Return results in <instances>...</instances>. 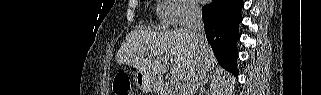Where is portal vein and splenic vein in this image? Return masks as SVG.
<instances>
[{"instance_id": "obj_1", "label": "portal vein and splenic vein", "mask_w": 321, "mask_h": 95, "mask_svg": "<svg viewBox=\"0 0 321 95\" xmlns=\"http://www.w3.org/2000/svg\"><path fill=\"white\" fill-rule=\"evenodd\" d=\"M170 85L171 86H177L178 85V80H177V78L176 77H171V79H170Z\"/></svg>"}]
</instances>
